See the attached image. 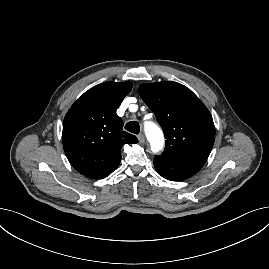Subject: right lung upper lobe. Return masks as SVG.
I'll return each mask as SVG.
<instances>
[{
    "label": "right lung upper lobe",
    "instance_id": "1",
    "mask_svg": "<svg viewBox=\"0 0 269 269\" xmlns=\"http://www.w3.org/2000/svg\"><path fill=\"white\" fill-rule=\"evenodd\" d=\"M130 82H105L86 91L63 121V147L71 165L92 179H102L120 164L121 147L138 139L122 130L116 109L130 92Z\"/></svg>",
    "mask_w": 269,
    "mask_h": 269
}]
</instances>
